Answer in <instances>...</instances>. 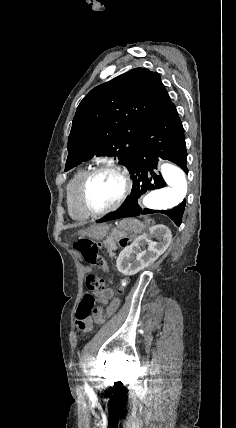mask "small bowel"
<instances>
[{
    "mask_svg": "<svg viewBox=\"0 0 236 428\" xmlns=\"http://www.w3.org/2000/svg\"><path fill=\"white\" fill-rule=\"evenodd\" d=\"M112 297V291L111 290H105L100 294V301L102 303H107ZM91 327V323H88L86 326V329H89Z\"/></svg>",
    "mask_w": 236,
    "mask_h": 428,
    "instance_id": "obj_1",
    "label": "small bowel"
}]
</instances>
